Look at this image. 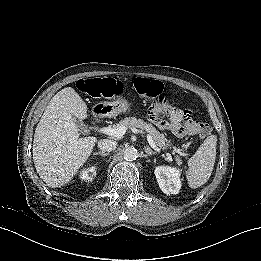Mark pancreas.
Returning a JSON list of instances; mask_svg holds the SVG:
<instances>
[{"label":"pancreas","mask_w":261,"mask_h":261,"mask_svg":"<svg viewBox=\"0 0 261 261\" xmlns=\"http://www.w3.org/2000/svg\"><path fill=\"white\" fill-rule=\"evenodd\" d=\"M120 125H123L129 129H142L152 137L153 141L160 149L164 150L171 146L170 142L165 138L164 134H161L152 124L146 123L142 119H136L135 117H126L124 120L120 121Z\"/></svg>","instance_id":"pancreas-1"}]
</instances>
